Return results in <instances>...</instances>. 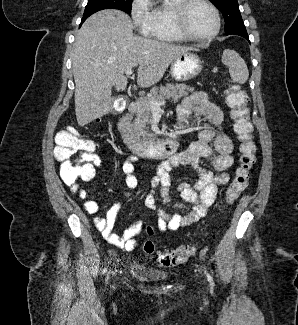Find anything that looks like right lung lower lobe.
I'll use <instances>...</instances> for the list:
<instances>
[{"mask_svg":"<svg viewBox=\"0 0 298 325\" xmlns=\"http://www.w3.org/2000/svg\"><path fill=\"white\" fill-rule=\"evenodd\" d=\"M85 20H82L81 24L84 22Z\"/></svg>","mask_w":298,"mask_h":325,"instance_id":"right-lung-lower-lobe-1","label":"right lung lower lobe"}]
</instances>
